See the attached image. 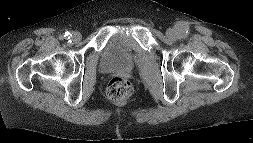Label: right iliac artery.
<instances>
[{
  "instance_id": "right-iliac-artery-1",
  "label": "right iliac artery",
  "mask_w": 253,
  "mask_h": 143,
  "mask_svg": "<svg viewBox=\"0 0 253 143\" xmlns=\"http://www.w3.org/2000/svg\"><path fill=\"white\" fill-rule=\"evenodd\" d=\"M69 35H70V33L69 32H65V37H67V38H69Z\"/></svg>"
}]
</instances>
